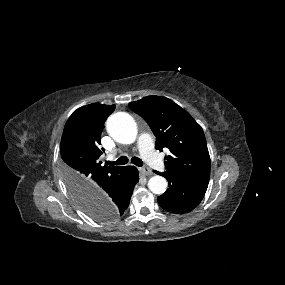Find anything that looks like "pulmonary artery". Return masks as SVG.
Returning <instances> with one entry per match:
<instances>
[{
    "mask_svg": "<svg viewBox=\"0 0 285 285\" xmlns=\"http://www.w3.org/2000/svg\"><path fill=\"white\" fill-rule=\"evenodd\" d=\"M136 144L141 156L149 166L159 171L165 170L166 167L162 158L154 150L153 139L150 134L141 133ZM109 158H112V156H109Z\"/></svg>",
    "mask_w": 285,
    "mask_h": 285,
    "instance_id": "pulmonary-artery-1",
    "label": "pulmonary artery"
}]
</instances>
